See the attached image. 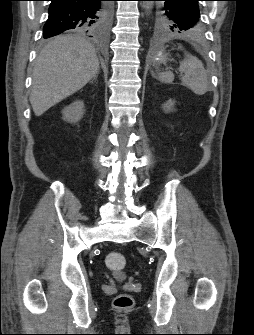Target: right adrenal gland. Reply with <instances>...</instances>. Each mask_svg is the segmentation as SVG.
Returning <instances> with one entry per match:
<instances>
[{
    "instance_id": "1",
    "label": "right adrenal gland",
    "mask_w": 254,
    "mask_h": 335,
    "mask_svg": "<svg viewBox=\"0 0 254 335\" xmlns=\"http://www.w3.org/2000/svg\"><path fill=\"white\" fill-rule=\"evenodd\" d=\"M96 79H97V76H95V77L93 78L92 82H93L94 80H96Z\"/></svg>"
}]
</instances>
